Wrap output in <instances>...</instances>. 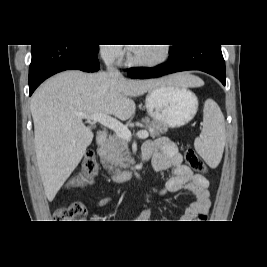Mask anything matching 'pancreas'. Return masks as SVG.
I'll return each mask as SVG.
<instances>
[{
    "mask_svg": "<svg viewBox=\"0 0 267 267\" xmlns=\"http://www.w3.org/2000/svg\"><path fill=\"white\" fill-rule=\"evenodd\" d=\"M143 122L152 138L159 137L167 131V127L149 119H145ZM101 159L104 166L110 171L115 170L118 172L122 168H127L132 162L127 140L119 137L117 134L111 136L102 149Z\"/></svg>",
    "mask_w": 267,
    "mask_h": 267,
    "instance_id": "1",
    "label": "pancreas"
}]
</instances>
